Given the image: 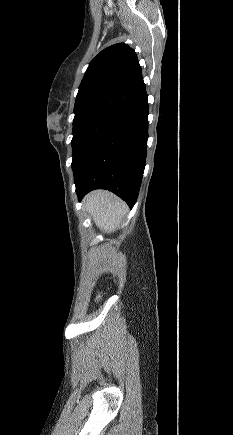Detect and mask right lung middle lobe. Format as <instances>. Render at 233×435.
<instances>
[{"label":"right lung middle lobe","mask_w":233,"mask_h":435,"mask_svg":"<svg viewBox=\"0 0 233 435\" xmlns=\"http://www.w3.org/2000/svg\"><path fill=\"white\" fill-rule=\"evenodd\" d=\"M123 114L98 111L78 117L73 121L72 169L74 170L90 149L110 130Z\"/></svg>","instance_id":"obj_1"}]
</instances>
